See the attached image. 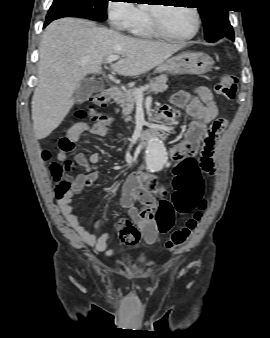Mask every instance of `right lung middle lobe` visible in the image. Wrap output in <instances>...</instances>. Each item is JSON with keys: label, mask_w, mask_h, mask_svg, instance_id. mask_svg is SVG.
I'll return each mask as SVG.
<instances>
[{"label": "right lung middle lobe", "mask_w": 270, "mask_h": 338, "mask_svg": "<svg viewBox=\"0 0 270 338\" xmlns=\"http://www.w3.org/2000/svg\"><path fill=\"white\" fill-rule=\"evenodd\" d=\"M109 0H54L46 20L62 17H80L94 21L107 19L106 8Z\"/></svg>", "instance_id": "obj_1"}]
</instances>
